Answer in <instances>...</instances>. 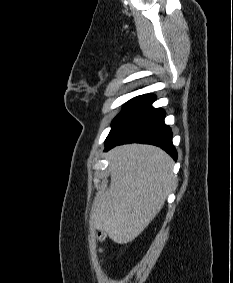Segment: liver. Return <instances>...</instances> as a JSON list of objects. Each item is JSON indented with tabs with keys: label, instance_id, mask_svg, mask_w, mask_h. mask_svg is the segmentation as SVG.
I'll use <instances>...</instances> for the list:
<instances>
[{
	"label": "liver",
	"instance_id": "liver-1",
	"mask_svg": "<svg viewBox=\"0 0 233 283\" xmlns=\"http://www.w3.org/2000/svg\"><path fill=\"white\" fill-rule=\"evenodd\" d=\"M110 187L97 195L90 223L118 244L139 236L162 209L176 178L174 162L145 144L117 146L107 153Z\"/></svg>",
	"mask_w": 233,
	"mask_h": 283
}]
</instances>
